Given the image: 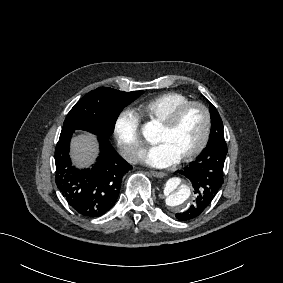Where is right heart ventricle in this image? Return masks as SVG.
<instances>
[{
    "instance_id": "obj_1",
    "label": "right heart ventricle",
    "mask_w": 283,
    "mask_h": 283,
    "mask_svg": "<svg viewBox=\"0 0 283 283\" xmlns=\"http://www.w3.org/2000/svg\"><path fill=\"white\" fill-rule=\"evenodd\" d=\"M189 101L190 97L183 93L166 92L137 102L133 110L139 119L160 123L171 110Z\"/></svg>"
}]
</instances>
